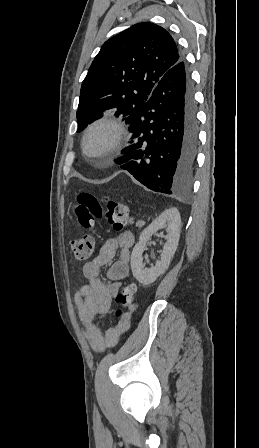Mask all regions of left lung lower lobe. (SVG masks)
I'll list each match as a JSON object with an SVG mask.
<instances>
[{
	"label": "left lung lower lobe",
	"mask_w": 259,
	"mask_h": 448,
	"mask_svg": "<svg viewBox=\"0 0 259 448\" xmlns=\"http://www.w3.org/2000/svg\"><path fill=\"white\" fill-rule=\"evenodd\" d=\"M131 145L116 163L147 188L173 194L190 186L198 124L187 63L181 60L158 81L146 104L126 119Z\"/></svg>",
	"instance_id": "1"
}]
</instances>
